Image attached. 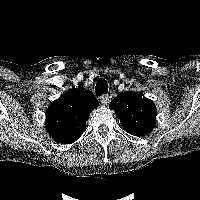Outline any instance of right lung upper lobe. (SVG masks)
<instances>
[{
	"mask_svg": "<svg viewBox=\"0 0 200 200\" xmlns=\"http://www.w3.org/2000/svg\"><path fill=\"white\" fill-rule=\"evenodd\" d=\"M97 106L89 90H69L48 107L46 129L56 142L70 144L82 135L90 112Z\"/></svg>",
	"mask_w": 200,
	"mask_h": 200,
	"instance_id": "1",
	"label": "right lung upper lobe"
}]
</instances>
